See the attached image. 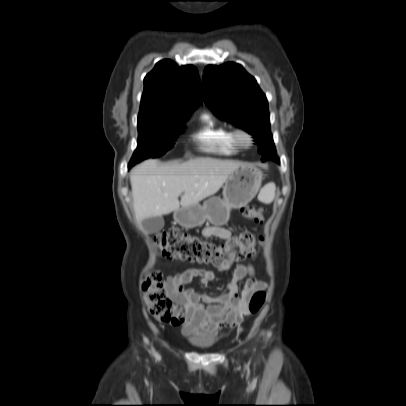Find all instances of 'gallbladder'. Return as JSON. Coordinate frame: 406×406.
Returning <instances> with one entry per match:
<instances>
[{
	"mask_svg": "<svg viewBox=\"0 0 406 406\" xmlns=\"http://www.w3.org/2000/svg\"><path fill=\"white\" fill-rule=\"evenodd\" d=\"M142 226L149 233H157L164 227V219L161 216L150 217L142 221Z\"/></svg>",
	"mask_w": 406,
	"mask_h": 406,
	"instance_id": "1",
	"label": "gallbladder"
}]
</instances>
